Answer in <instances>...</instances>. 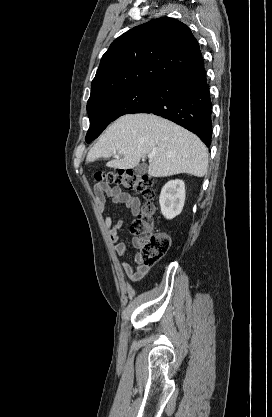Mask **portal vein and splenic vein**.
<instances>
[{
  "label": "portal vein and splenic vein",
  "instance_id": "1",
  "mask_svg": "<svg viewBox=\"0 0 272 417\" xmlns=\"http://www.w3.org/2000/svg\"><path fill=\"white\" fill-rule=\"evenodd\" d=\"M154 156H155V152H151L150 154H148V158H149V159L153 158ZM113 157H114V158H116V159H119V157H120V156H119L118 154H116V153H115V154L113 155Z\"/></svg>",
  "mask_w": 272,
  "mask_h": 417
}]
</instances>
